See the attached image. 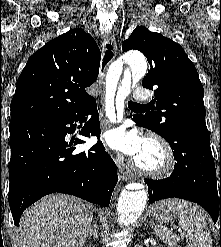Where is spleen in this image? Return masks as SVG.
<instances>
[{"label":"spleen","instance_id":"obj_1","mask_svg":"<svg viewBox=\"0 0 221 247\" xmlns=\"http://www.w3.org/2000/svg\"><path fill=\"white\" fill-rule=\"evenodd\" d=\"M179 225L185 231L186 242L191 247H212V239L207 231V223L197 207L187 201L177 205ZM155 233L169 246L174 247L178 243L176 234L163 228L155 227Z\"/></svg>","mask_w":221,"mask_h":247}]
</instances>
